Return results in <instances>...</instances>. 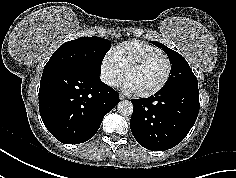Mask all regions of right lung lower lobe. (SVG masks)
Returning a JSON list of instances; mask_svg holds the SVG:
<instances>
[{
    "label": "right lung lower lobe",
    "instance_id": "1",
    "mask_svg": "<svg viewBox=\"0 0 236 178\" xmlns=\"http://www.w3.org/2000/svg\"><path fill=\"white\" fill-rule=\"evenodd\" d=\"M118 102V93L99 75L66 67L43 70L40 115L49 132L64 144H79L92 138L104 116Z\"/></svg>",
    "mask_w": 236,
    "mask_h": 178
}]
</instances>
